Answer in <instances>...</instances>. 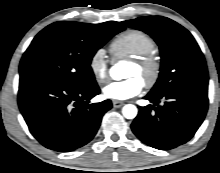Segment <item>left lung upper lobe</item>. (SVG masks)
Returning a JSON list of instances; mask_svg holds the SVG:
<instances>
[{
    "instance_id": "obj_1",
    "label": "left lung upper lobe",
    "mask_w": 220,
    "mask_h": 173,
    "mask_svg": "<svg viewBox=\"0 0 220 173\" xmlns=\"http://www.w3.org/2000/svg\"><path fill=\"white\" fill-rule=\"evenodd\" d=\"M123 24L144 31L159 45L160 74L150 94L161 95L180 88L208 89L203 53L188 30L161 16L140 17Z\"/></svg>"
}]
</instances>
